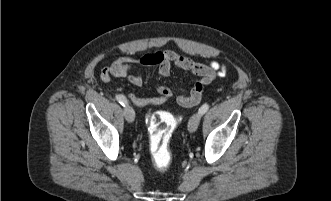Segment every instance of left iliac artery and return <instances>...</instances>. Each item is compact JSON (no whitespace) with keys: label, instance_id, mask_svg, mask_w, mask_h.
I'll use <instances>...</instances> for the list:
<instances>
[{"label":"left iliac artery","instance_id":"44dca946","mask_svg":"<svg viewBox=\"0 0 331 201\" xmlns=\"http://www.w3.org/2000/svg\"><path fill=\"white\" fill-rule=\"evenodd\" d=\"M209 109V105L208 104H204L200 107L199 109V113H201V115L205 114Z\"/></svg>","mask_w":331,"mask_h":201}]
</instances>
